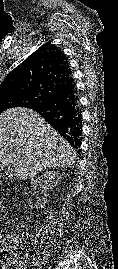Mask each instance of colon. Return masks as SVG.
Listing matches in <instances>:
<instances>
[{"mask_svg": "<svg viewBox=\"0 0 118 269\" xmlns=\"http://www.w3.org/2000/svg\"><path fill=\"white\" fill-rule=\"evenodd\" d=\"M16 240L11 236L0 239V264H10L14 259Z\"/></svg>", "mask_w": 118, "mask_h": 269, "instance_id": "5ec220e1", "label": "colon"}]
</instances>
